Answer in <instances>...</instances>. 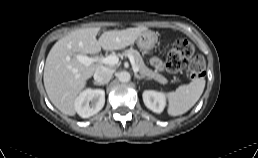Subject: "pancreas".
I'll return each instance as SVG.
<instances>
[{"mask_svg": "<svg viewBox=\"0 0 258 158\" xmlns=\"http://www.w3.org/2000/svg\"><path fill=\"white\" fill-rule=\"evenodd\" d=\"M123 55L124 56L132 55L134 57L135 63L139 69V73L142 76L147 77L149 79H155L156 81H158L161 84L167 83V79L164 76H162L161 74H159L156 71H152L144 64V61H143L140 53L137 50H135L133 48L127 49L124 51Z\"/></svg>", "mask_w": 258, "mask_h": 158, "instance_id": "cf45deb5", "label": "pancreas"}]
</instances>
